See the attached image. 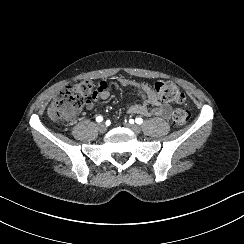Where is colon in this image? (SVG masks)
I'll use <instances>...</instances> for the list:
<instances>
[{
	"label": "colon",
	"instance_id": "colon-1",
	"mask_svg": "<svg viewBox=\"0 0 244 244\" xmlns=\"http://www.w3.org/2000/svg\"><path fill=\"white\" fill-rule=\"evenodd\" d=\"M152 89L166 101L182 103L185 100L184 93L171 81H155ZM96 95V84L89 79L79 80L67 85L55 96L54 101L48 108V116L57 124L63 123L73 117L75 111L79 110ZM188 119L189 112L187 110L176 109L172 113V121L177 126L186 124Z\"/></svg>",
	"mask_w": 244,
	"mask_h": 244
}]
</instances>
